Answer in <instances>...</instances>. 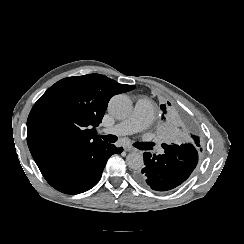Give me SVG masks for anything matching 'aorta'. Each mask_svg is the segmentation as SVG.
Segmentation results:
<instances>
[{
	"mask_svg": "<svg viewBox=\"0 0 244 244\" xmlns=\"http://www.w3.org/2000/svg\"><path fill=\"white\" fill-rule=\"evenodd\" d=\"M132 108L130 98L124 94L113 96L108 104L110 114L117 119L127 117L131 113ZM126 164L131 169L139 170L144 166L143 156L137 152L129 153L126 156Z\"/></svg>",
	"mask_w": 244,
	"mask_h": 244,
	"instance_id": "762f6f07",
	"label": "aorta"
}]
</instances>
